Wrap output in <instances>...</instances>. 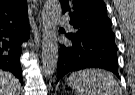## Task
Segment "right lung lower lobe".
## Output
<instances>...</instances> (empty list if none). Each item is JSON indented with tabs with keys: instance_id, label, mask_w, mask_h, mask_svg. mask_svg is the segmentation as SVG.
Segmentation results:
<instances>
[{
	"instance_id": "98d812e1",
	"label": "right lung lower lobe",
	"mask_w": 135,
	"mask_h": 95,
	"mask_svg": "<svg viewBox=\"0 0 135 95\" xmlns=\"http://www.w3.org/2000/svg\"><path fill=\"white\" fill-rule=\"evenodd\" d=\"M27 17L17 21H0V68L12 72L22 83L21 45L29 38Z\"/></svg>"
}]
</instances>
